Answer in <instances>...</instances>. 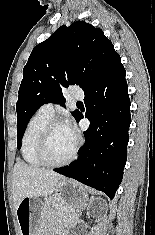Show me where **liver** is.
<instances>
[{
	"instance_id": "6515ba94",
	"label": "liver",
	"mask_w": 155,
	"mask_h": 235,
	"mask_svg": "<svg viewBox=\"0 0 155 235\" xmlns=\"http://www.w3.org/2000/svg\"><path fill=\"white\" fill-rule=\"evenodd\" d=\"M64 177L52 170L29 166L18 161L13 169V199L15 209L25 197H47Z\"/></svg>"
}]
</instances>
